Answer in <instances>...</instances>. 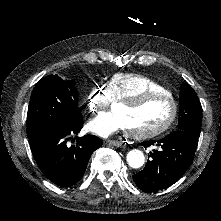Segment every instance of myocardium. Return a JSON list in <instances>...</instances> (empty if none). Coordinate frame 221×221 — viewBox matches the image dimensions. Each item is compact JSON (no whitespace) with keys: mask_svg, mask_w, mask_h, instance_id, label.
Instances as JSON below:
<instances>
[{"mask_svg":"<svg viewBox=\"0 0 221 221\" xmlns=\"http://www.w3.org/2000/svg\"><path fill=\"white\" fill-rule=\"evenodd\" d=\"M163 100L165 101V103L167 104V109L169 111V116L166 120L163 121V123L161 124H157L154 127L150 126V127H145V128H141L135 131V136L136 137H140V138H144V139H148V138H153V137H158V136H163L164 134H166L174 125V123L177 120V116L179 113V108L174 100L173 95L168 94L166 92H154L150 95H148L147 97L143 96L140 97L136 100H131L130 101V106L131 109L132 108H140L141 105H145L148 102L152 103L156 100ZM132 132V131H130Z\"/></svg>","mask_w":221,"mask_h":221,"instance_id":"myocardium-1","label":"myocardium"}]
</instances>
